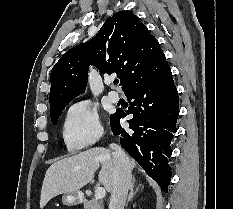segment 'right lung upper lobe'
I'll use <instances>...</instances> for the list:
<instances>
[{"mask_svg":"<svg viewBox=\"0 0 233 209\" xmlns=\"http://www.w3.org/2000/svg\"><path fill=\"white\" fill-rule=\"evenodd\" d=\"M89 65L101 73H116L127 93L153 79L168 62L157 39L139 18L120 11L105 21L95 38L71 48L55 64L50 112L84 92Z\"/></svg>","mask_w":233,"mask_h":209,"instance_id":"obj_1","label":"right lung upper lobe"}]
</instances>
